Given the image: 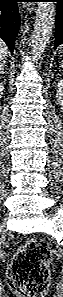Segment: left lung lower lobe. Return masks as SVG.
I'll return each mask as SVG.
<instances>
[{"instance_id": "1", "label": "left lung lower lobe", "mask_w": 63, "mask_h": 297, "mask_svg": "<svg viewBox=\"0 0 63 297\" xmlns=\"http://www.w3.org/2000/svg\"><path fill=\"white\" fill-rule=\"evenodd\" d=\"M58 2L55 16V49L63 44V0H50Z\"/></svg>"}]
</instances>
